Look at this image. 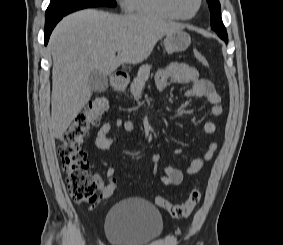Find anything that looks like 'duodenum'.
Returning a JSON list of instances; mask_svg holds the SVG:
<instances>
[{"mask_svg": "<svg viewBox=\"0 0 283 245\" xmlns=\"http://www.w3.org/2000/svg\"><path fill=\"white\" fill-rule=\"evenodd\" d=\"M128 83V77L126 74L118 72L115 73L112 79V87L115 91H123Z\"/></svg>", "mask_w": 283, "mask_h": 245, "instance_id": "obj_1", "label": "duodenum"}]
</instances>
